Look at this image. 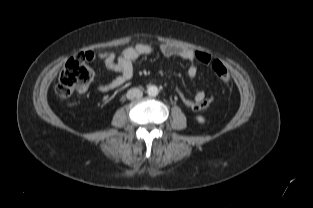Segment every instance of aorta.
Instances as JSON below:
<instances>
[{
    "label": "aorta",
    "mask_w": 313,
    "mask_h": 208,
    "mask_svg": "<svg viewBox=\"0 0 313 208\" xmlns=\"http://www.w3.org/2000/svg\"><path fill=\"white\" fill-rule=\"evenodd\" d=\"M158 92H159V90H158L157 86H155V85H150L147 88V93L149 96H156V95H158Z\"/></svg>",
    "instance_id": "1"
}]
</instances>
